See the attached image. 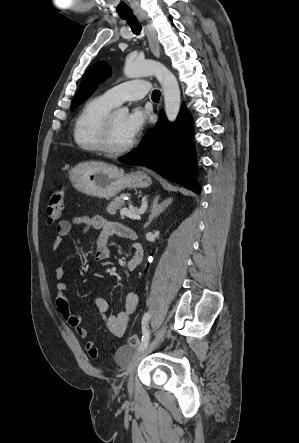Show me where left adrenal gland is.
<instances>
[{"mask_svg": "<svg viewBox=\"0 0 299 443\" xmlns=\"http://www.w3.org/2000/svg\"><path fill=\"white\" fill-rule=\"evenodd\" d=\"M159 198L156 197L153 202H152V206H151V214L149 216V220L148 222L145 224V228H147L150 223L157 218L172 202V199H166L163 202H161L160 204L158 203Z\"/></svg>", "mask_w": 299, "mask_h": 443, "instance_id": "obj_1", "label": "left adrenal gland"}]
</instances>
